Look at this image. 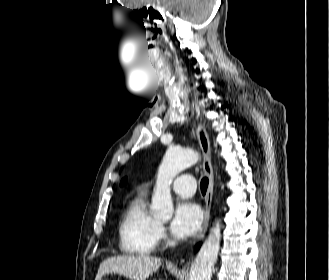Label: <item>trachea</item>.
Returning a JSON list of instances; mask_svg holds the SVG:
<instances>
[{"instance_id": "3493384b", "label": "trachea", "mask_w": 329, "mask_h": 280, "mask_svg": "<svg viewBox=\"0 0 329 280\" xmlns=\"http://www.w3.org/2000/svg\"><path fill=\"white\" fill-rule=\"evenodd\" d=\"M208 184H209L208 178H206V177L202 178L201 183H200V188H201V192H202L203 196L206 194Z\"/></svg>"}]
</instances>
